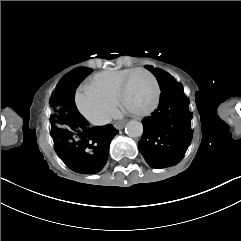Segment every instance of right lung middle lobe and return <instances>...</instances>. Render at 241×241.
<instances>
[{
    "label": "right lung middle lobe",
    "instance_id": "right-lung-middle-lobe-1",
    "mask_svg": "<svg viewBox=\"0 0 241 241\" xmlns=\"http://www.w3.org/2000/svg\"><path fill=\"white\" fill-rule=\"evenodd\" d=\"M91 72L92 69H89ZM67 82L63 79L56 88L55 94L50 101L51 115V135L55 138L70 139L74 134V128L72 126L69 113L65 106V99L72 96L69 90L66 88Z\"/></svg>",
    "mask_w": 241,
    "mask_h": 241
}]
</instances>
